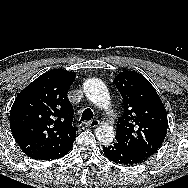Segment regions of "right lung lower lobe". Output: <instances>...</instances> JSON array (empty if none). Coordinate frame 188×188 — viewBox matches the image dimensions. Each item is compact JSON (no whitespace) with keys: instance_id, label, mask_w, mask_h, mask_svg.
Here are the masks:
<instances>
[{"instance_id":"right-lung-lower-lobe-1","label":"right lung lower lobe","mask_w":188,"mask_h":188,"mask_svg":"<svg viewBox=\"0 0 188 188\" xmlns=\"http://www.w3.org/2000/svg\"><path fill=\"white\" fill-rule=\"evenodd\" d=\"M73 142L74 140L62 147H59L53 150H48V151L41 152V153H37L31 158L36 159V160H54L57 158H61L70 151V149L72 148Z\"/></svg>"}]
</instances>
